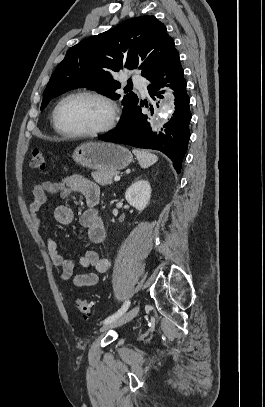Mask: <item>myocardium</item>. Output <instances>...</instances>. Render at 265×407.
I'll list each match as a JSON object with an SVG mask.
<instances>
[{"label": "myocardium", "instance_id": "f54148a6", "mask_svg": "<svg viewBox=\"0 0 265 407\" xmlns=\"http://www.w3.org/2000/svg\"><path fill=\"white\" fill-rule=\"evenodd\" d=\"M76 96H86V97L94 98L96 100H99L103 104H105L109 110V118H108L107 122L100 128H97V129L91 130V131L74 132V131H67V130L63 129L59 122L60 108L66 100H68L72 97H76ZM117 120H118V108H117V105L115 104V102L108 96H106L102 93L96 92V91H91V90H78V91H73V92L68 93L67 95H65L64 97H62L59 100V102L57 103V105L55 106L54 111H53V123H54L55 129L61 135L70 137V138H91V137H97V136L103 135L105 133H108L115 127Z\"/></svg>", "mask_w": 265, "mask_h": 407}]
</instances>
